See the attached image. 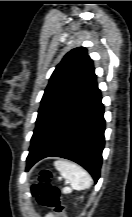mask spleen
I'll return each mask as SVG.
<instances>
[{
	"instance_id": "1",
	"label": "spleen",
	"mask_w": 132,
	"mask_h": 217,
	"mask_svg": "<svg viewBox=\"0 0 132 217\" xmlns=\"http://www.w3.org/2000/svg\"><path fill=\"white\" fill-rule=\"evenodd\" d=\"M54 165L71 186L65 187L63 193L68 194L72 190L80 191L90 187L92 178L81 166L67 160H57Z\"/></svg>"
}]
</instances>
